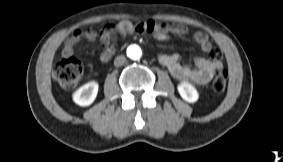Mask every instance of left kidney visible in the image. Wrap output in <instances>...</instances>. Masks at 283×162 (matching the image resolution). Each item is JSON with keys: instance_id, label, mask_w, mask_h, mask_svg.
<instances>
[{"instance_id": "1", "label": "left kidney", "mask_w": 283, "mask_h": 162, "mask_svg": "<svg viewBox=\"0 0 283 162\" xmlns=\"http://www.w3.org/2000/svg\"><path fill=\"white\" fill-rule=\"evenodd\" d=\"M178 92L180 96L189 103H194L198 100L199 94L196 90V88L188 83V82H182L177 86Z\"/></svg>"}]
</instances>
